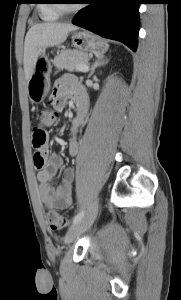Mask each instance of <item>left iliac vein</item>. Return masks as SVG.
<instances>
[{
  "label": "left iliac vein",
  "mask_w": 181,
  "mask_h": 300,
  "mask_svg": "<svg viewBox=\"0 0 181 300\" xmlns=\"http://www.w3.org/2000/svg\"><path fill=\"white\" fill-rule=\"evenodd\" d=\"M98 212V203L95 202L89 212L80 221L73 224L67 231L64 241L65 243H70L79 237L83 232H85L94 222Z\"/></svg>",
  "instance_id": "4c4485c4"
}]
</instances>
